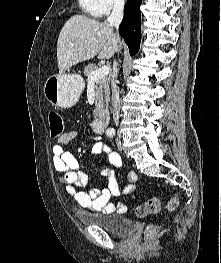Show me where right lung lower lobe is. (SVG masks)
Masks as SVG:
<instances>
[{"instance_id": "98d812e1", "label": "right lung lower lobe", "mask_w": 221, "mask_h": 263, "mask_svg": "<svg viewBox=\"0 0 221 263\" xmlns=\"http://www.w3.org/2000/svg\"><path fill=\"white\" fill-rule=\"evenodd\" d=\"M142 0H128L124 7V16L119 26V34L129 47V52L134 55L138 52L141 41V12Z\"/></svg>"}]
</instances>
